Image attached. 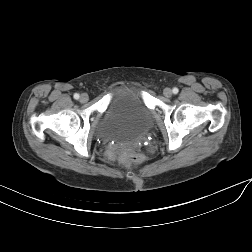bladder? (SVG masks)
Listing matches in <instances>:
<instances>
[{"instance_id":"obj_1","label":"bladder","mask_w":252,"mask_h":252,"mask_svg":"<svg viewBox=\"0 0 252 252\" xmlns=\"http://www.w3.org/2000/svg\"><path fill=\"white\" fill-rule=\"evenodd\" d=\"M152 125V113L135 85L116 87L111 100L94 128L101 140L131 142L141 137Z\"/></svg>"}]
</instances>
